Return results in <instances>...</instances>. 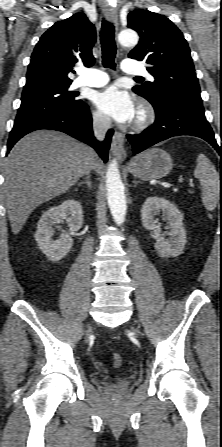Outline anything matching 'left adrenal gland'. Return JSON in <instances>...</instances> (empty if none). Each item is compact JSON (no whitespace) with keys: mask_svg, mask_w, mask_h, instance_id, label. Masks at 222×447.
Segmentation results:
<instances>
[{"mask_svg":"<svg viewBox=\"0 0 222 447\" xmlns=\"http://www.w3.org/2000/svg\"><path fill=\"white\" fill-rule=\"evenodd\" d=\"M139 183H141V181H133L134 187H136V185Z\"/></svg>","mask_w":222,"mask_h":447,"instance_id":"obj_1","label":"left adrenal gland"}]
</instances>
